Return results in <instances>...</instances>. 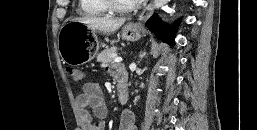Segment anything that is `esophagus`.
<instances>
[{"mask_svg":"<svg viewBox=\"0 0 257 130\" xmlns=\"http://www.w3.org/2000/svg\"><path fill=\"white\" fill-rule=\"evenodd\" d=\"M153 13V2L151 1L143 10V12L139 15L138 20L139 21H145L148 19L151 14Z\"/></svg>","mask_w":257,"mask_h":130,"instance_id":"esophagus-1","label":"esophagus"}]
</instances>
